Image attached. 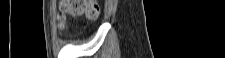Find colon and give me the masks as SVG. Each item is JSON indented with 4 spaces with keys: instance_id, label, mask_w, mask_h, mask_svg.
<instances>
[{
    "instance_id": "obj_1",
    "label": "colon",
    "mask_w": 225,
    "mask_h": 58,
    "mask_svg": "<svg viewBox=\"0 0 225 58\" xmlns=\"http://www.w3.org/2000/svg\"><path fill=\"white\" fill-rule=\"evenodd\" d=\"M101 8L98 0H66L60 6V18L65 14L72 16L85 15L88 19L94 20L99 17Z\"/></svg>"
}]
</instances>
